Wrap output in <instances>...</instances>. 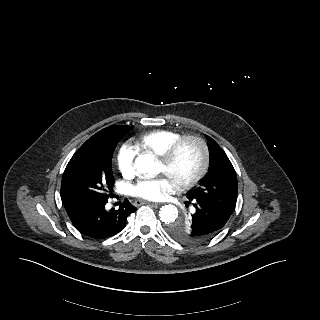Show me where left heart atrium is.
Here are the masks:
<instances>
[{"instance_id": "left-heart-atrium-1", "label": "left heart atrium", "mask_w": 320, "mask_h": 320, "mask_svg": "<svg viewBox=\"0 0 320 320\" xmlns=\"http://www.w3.org/2000/svg\"><path fill=\"white\" fill-rule=\"evenodd\" d=\"M174 190V184L168 177L141 178L131 187L133 196L148 200H159Z\"/></svg>"}]
</instances>
